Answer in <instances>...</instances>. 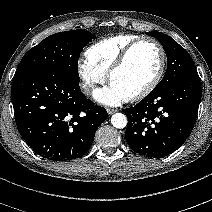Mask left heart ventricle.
Segmentation results:
<instances>
[{
	"mask_svg": "<svg viewBox=\"0 0 212 212\" xmlns=\"http://www.w3.org/2000/svg\"><path fill=\"white\" fill-rule=\"evenodd\" d=\"M159 64L158 50L149 43L140 44L132 51L125 66L114 74L111 84L131 97L152 80Z\"/></svg>",
	"mask_w": 212,
	"mask_h": 212,
	"instance_id": "obj_1",
	"label": "left heart ventricle"
}]
</instances>
